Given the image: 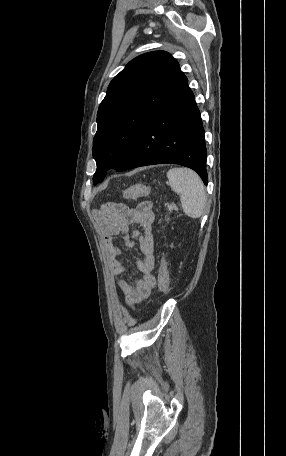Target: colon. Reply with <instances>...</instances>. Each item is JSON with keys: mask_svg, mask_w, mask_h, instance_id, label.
<instances>
[{"mask_svg": "<svg viewBox=\"0 0 286 456\" xmlns=\"http://www.w3.org/2000/svg\"><path fill=\"white\" fill-rule=\"evenodd\" d=\"M150 191V187L147 185H133L125 189L123 192V196L126 198H137L141 196H145ZM105 208H111V203H107ZM170 281L168 270L165 262L161 264L159 270V289L162 293H166L169 290Z\"/></svg>", "mask_w": 286, "mask_h": 456, "instance_id": "5ec220e1", "label": "colon"}]
</instances>
